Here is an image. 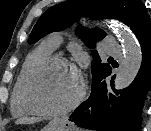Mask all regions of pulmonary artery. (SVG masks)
I'll list each match as a JSON object with an SVG mask.
<instances>
[{"label":"pulmonary artery","mask_w":151,"mask_h":131,"mask_svg":"<svg viewBox=\"0 0 151 131\" xmlns=\"http://www.w3.org/2000/svg\"><path fill=\"white\" fill-rule=\"evenodd\" d=\"M61 41L62 38L59 33H53L47 39L48 44L53 49L57 48L60 45ZM103 46L106 49V51L110 54L119 55L121 53L119 45L115 42L114 39L110 37L105 38L103 40Z\"/></svg>","instance_id":"obj_1"}]
</instances>
